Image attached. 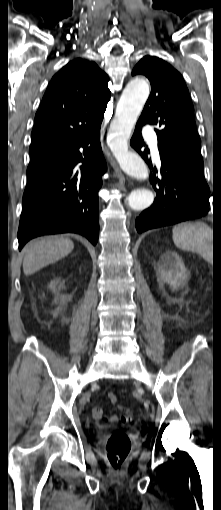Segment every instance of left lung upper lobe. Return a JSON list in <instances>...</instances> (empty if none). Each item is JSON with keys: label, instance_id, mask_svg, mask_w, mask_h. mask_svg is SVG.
Returning a JSON list of instances; mask_svg holds the SVG:
<instances>
[{"label": "left lung upper lobe", "instance_id": "obj_1", "mask_svg": "<svg viewBox=\"0 0 221 510\" xmlns=\"http://www.w3.org/2000/svg\"><path fill=\"white\" fill-rule=\"evenodd\" d=\"M137 74L145 75L151 83L150 96L138 121L156 126L160 144L203 163L194 108L181 74L154 56L140 60L132 71V75Z\"/></svg>", "mask_w": 221, "mask_h": 510}]
</instances>
